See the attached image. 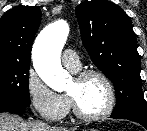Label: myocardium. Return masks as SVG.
Here are the masks:
<instances>
[{
	"label": "myocardium",
	"instance_id": "1",
	"mask_svg": "<svg viewBox=\"0 0 147 131\" xmlns=\"http://www.w3.org/2000/svg\"><path fill=\"white\" fill-rule=\"evenodd\" d=\"M92 76L100 78L105 84L106 89H107L108 102H107L106 107L101 112L92 114V115L83 113L80 110L75 98L70 93L67 92V96L69 98L70 105L72 107V111L74 115L78 119L87 121V122L97 121V120L106 118L112 113V111L114 110L115 104H116V91H115L114 84L104 72L97 70V69H86V70H82L78 72L74 78L78 81H81V80H84Z\"/></svg>",
	"mask_w": 147,
	"mask_h": 131
}]
</instances>
